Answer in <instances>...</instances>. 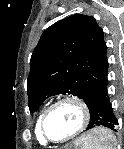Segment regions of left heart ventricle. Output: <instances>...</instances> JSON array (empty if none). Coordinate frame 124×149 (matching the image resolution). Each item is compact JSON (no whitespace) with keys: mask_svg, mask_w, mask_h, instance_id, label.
Masks as SVG:
<instances>
[{"mask_svg":"<svg viewBox=\"0 0 124 149\" xmlns=\"http://www.w3.org/2000/svg\"><path fill=\"white\" fill-rule=\"evenodd\" d=\"M81 123V114L77 106L65 103L55 108L46 121V131L54 140L71 135Z\"/></svg>","mask_w":124,"mask_h":149,"instance_id":"left-heart-ventricle-1","label":"left heart ventricle"}]
</instances>
